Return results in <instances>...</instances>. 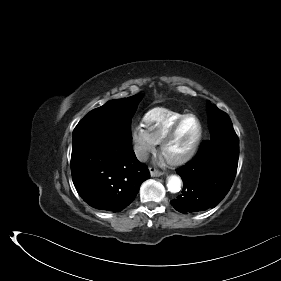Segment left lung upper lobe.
Here are the masks:
<instances>
[{"mask_svg":"<svg viewBox=\"0 0 281 281\" xmlns=\"http://www.w3.org/2000/svg\"><path fill=\"white\" fill-rule=\"evenodd\" d=\"M209 115L210 141L212 143L227 144L239 142L232 122L225 112L218 109L217 106L209 104Z\"/></svg>","mask_w":281,"mask_h":281,"instance_id":"1","label":"left lung upper lobe"}]
</instances>
